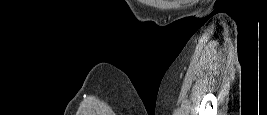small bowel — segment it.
Masks as SVG:
<instances>
[{"label": "small bowel", "instance_id": "small-bowel-1", "mask_svg": "<svg viewBox=\"0 0 267 115\" xmlns=\"http://www.w3.org/2000/svg\"><path fill=\"white\" fill-rule=\"evenodd\" d=\"M184 2H194V1H192V0H189V1H184Z\"/></svg>", "mask_w": 267, "mask_h": 115}]
</instances>
